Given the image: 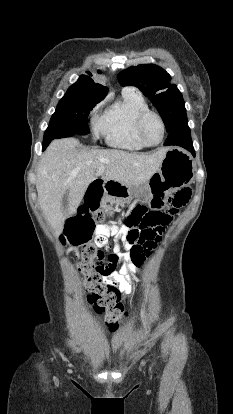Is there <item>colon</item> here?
I'll list each match as a JSON object with an SVG mask.
<instances>
[{"label":"colon","mask_w":233,"mask_h":414,"mask_svg":"<svg viewBox=\"0 0 233 414\" xmlns=\"http://www.w3.org/2000/svg\"><path fill=\"white\" fill-rule=\"evenodd\" d=\"M190 197L188 188L182 189L173 195L168 203L174 209L185 205ZM104 219L102 212H87L85 207L79 210L78 215L70 218L65 227V236L74 246L81 247V258L78 269L83 275V283L89 292L88 301L92 306L103 305L104 311L98 314L104 315L109 328L116 330L126 316L125 303L122 294L113 295L105 290L103 280L96 274L95 261L99 260L100 252L107 251L110 245L101 248L91 241L94 233L95 223ZM170 216L163 211H145L142 207L136 208L125 222V235H119L122 246L130 254L132 262L137 267H142L146 257ZM111 258V255L108 258Z\"/></svg>","instance_id":"obj_1"}]
</instances>
